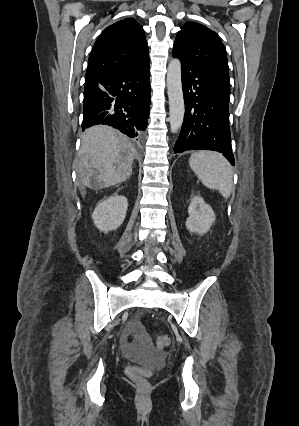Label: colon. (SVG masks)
Listing matches in <instances>:
<instances>
[{
  "label": "colon",
  "mask_w": 299,
  "mask_h": 426,
  "mask_svg": "<svg viewBox=\"0 0 299 426\" xmlns=\"http://www.w3.org/2000/svg\"><path fill=\"white\" fill-rule=\"evenodd\" d=\"M138 332L141 335H144V328L143 326L138 327ZM169 337L166 335H160L155 338V346L158 349H164L169 345ZM126 373L128 377L137 383L141 388H147L148 387V381L147 379L152 375V372L150 369L139 367V366H130L126 369Z\"/></svg>",
  "instance_id": "colon-1"
}]
</instances>
